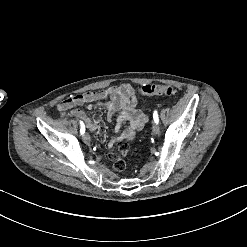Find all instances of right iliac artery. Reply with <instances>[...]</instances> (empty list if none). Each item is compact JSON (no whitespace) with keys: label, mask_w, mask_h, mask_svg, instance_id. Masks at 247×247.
Listing matches in <instances>:
<instances>
[{"label":"right iliac artery","mask_w":247,"mask_h":247,"mask_svg":"<svg viewBox=\"0 0 247 247\" xmlns=\"http://www.w3.org/2000/svg\"><path fill=\"white\" fill-rule=\"evenodd\" d=\"M85 133V125L82 121H80V134L83 135Z\"/></svg>","instance_id":"82829eb1"}]
</instances>
